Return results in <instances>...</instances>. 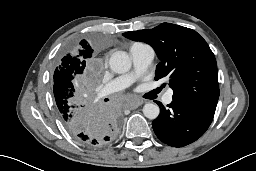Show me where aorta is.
Segmentation results:
<instances>
[{
	"mask_svg": "<svg viewBox=\"0 0 256 171\" xmlns=\"http://www.w3.org/2000/svg\"><path fill=\"white\" fill-rule=\"evenodd\" d=\"M110 69L118 74L126 73L131 68V60L124 51L113 53L109 59ZM160 113L159 106L154 103H147L143 107V114L148 119H156Z\"/></svg>",
	"mask_w": 256,
	"mask_h": 171,
	"instance_id": "obj_1",
	"label": "aorta"
}]
</instances>
